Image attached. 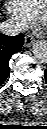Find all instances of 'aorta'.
I'll return each instance as SVG.
<instances>
[{"label":"aorta","mask_w":47,"mask_h":129,"mask_svg":"<svg viewBox=\"0 0 47 129\" xmlns=\"http://www.w3.org/2000/svg\"><path fill=\"white\" fill-rule=\"evenodd\" d=\"M34 57L42 62H47V42L45 40H38L32 47Z\"/></svg>","instance_id":"obj_1"}]
</instances>
